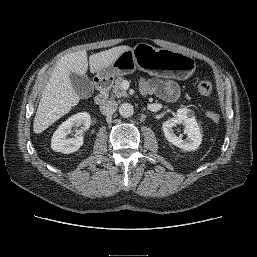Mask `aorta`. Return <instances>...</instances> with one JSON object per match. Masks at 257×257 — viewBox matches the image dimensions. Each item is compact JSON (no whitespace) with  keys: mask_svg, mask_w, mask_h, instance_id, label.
<instances>
[{"mask_svg":"<svg viewBox=\"0 0 257 257\" xmlns=\"http://www.w3.org/2000/svg\"><path fill=\"white\" fill-rule=\"evenodd\" d=\"M119 113L122 117H131L134 113V108L130 103H122L119 107Z\"/></svg>","mask_w":257,"mask_h":257,"instance_id":"aorta-1","label":"aorta"}]
</instances>
